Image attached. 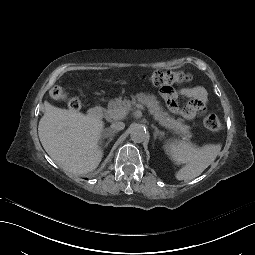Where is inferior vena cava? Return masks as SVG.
<instances>
[{"mask_svg": "<svg viewBox=\"0 0 255 255\" xmlns=\"http://www.w3.org/2000/svg\"><path fill=\"white\" fill-rule=\"evenodd\" d=\"M125 127V124L123 122L117 121L111 124V129L112 130H116V131H120L123 130Z\"/></svg>", "mask_w": 255, "mask_h": 255, "instance_id": "602c4592", "label": "inferior vena cava"}]
</instances>
